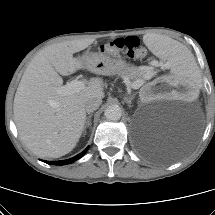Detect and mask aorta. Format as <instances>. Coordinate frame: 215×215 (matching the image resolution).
<instances>
[{
	"instance_id": "aorta-1",
	"label": "aorta",
	"mask_w": 215,
	"mask_h": 215,
	"mask_svg": "<svg viewBox=\"0 0 215 215\" xmlns=\"http://www.w3.org/2000/svg\"><path fill=\"white\" fill-rule=\"evenodd\" d=\"M104 116L108 120L117 121L122 116V110L118 105H111L105 109Z\"/></svg>"
}]
</instances>
